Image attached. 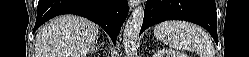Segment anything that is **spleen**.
Returning a JSON list of instances; mask_svg holds the SVG:
<instances>
[{
    "label": "spleen",
    "mask_w": 249,
    "mask_h": 57,
    "mask_svg": "<svg viewBox=\"0 0 249 57\" xmlns=\"http://www.w3.org/2000/svg\"><path fill=\"white\" fill-rule=\"evenodd\" d=\"M154 36L171 48L196 52L200 57H214V46L209 35L201 27L180 20L159 23Z\"/></svg>",
    "instance_id": "3e777b00"
}]
</instances>
